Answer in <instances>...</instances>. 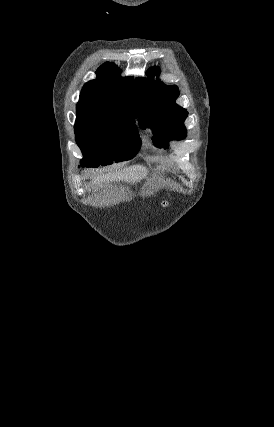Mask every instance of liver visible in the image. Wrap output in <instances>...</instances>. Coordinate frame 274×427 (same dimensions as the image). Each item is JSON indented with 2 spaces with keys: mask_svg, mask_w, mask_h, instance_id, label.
Segmentation results:
<instances>
[{
  "mask_svg": "<svg viewBox=\"0 0 274 427\" xmlns=\"http://www.w3.org/2000/svg\"><path fill=\"white\" fill-rule=\"evenodd\" d=\"M148 170L144 166H126V168H121L117 172H111V174H103V176H96L93 178L92 182L94 184H100L103 180H106L109 184V180H122V182H131V184H136L140 182L143 178H146Z\"/></svg>",
  "mask_w": 274,
  "mask_h": 427,
  "instance_id": "liver-1",
  "label": "liver"
}]
</instances>
